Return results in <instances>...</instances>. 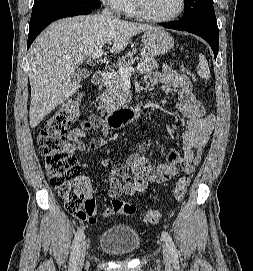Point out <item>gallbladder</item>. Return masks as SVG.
<instances>
[{
  "label": "gallbladder",
  "mask_w": 253,
  "mask_h": 271,
  "mask_svg": "<svg viewBox=\"0 0 253 271\" xmlns=\"http://www.w3.org/2000/svg\"><path fill=\"white\" fill-rule=\"evenodd\" d=\"M90 76V72L86 69H81L76 72L75 78L76 80L83 81Z\"/></svg>",
  "instance_id": "1"
}]
</instances>
